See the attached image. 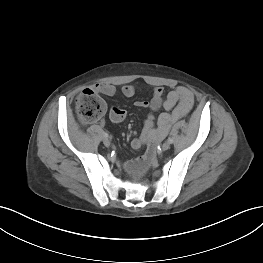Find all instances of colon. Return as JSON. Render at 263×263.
<instances>
[{
	"label": "colon",
	"instance_id": "5ec220e1",
	"mask_svg": "<svg viewBox=\"0 0 263 263\" xmlns=\"http://www.w3.org/2000/svg\"><path fill=\"white\" fill-rule=\"evenodd\" d=\"M78 118L84 123H92L99 120L106 111V104L97 91L85 89L75 102Z\"/></svg>",
	"mask_w": 263,
	"mask_h": 263
}]
</instances>
